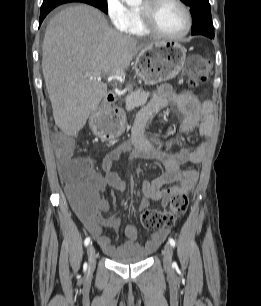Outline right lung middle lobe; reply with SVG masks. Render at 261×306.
<instances>
[{
  "label": "right lung middle lobe",
  "instance_id": "obj_1",
  "mask_svg": "<svg viewBox=\"0 0 261 306\" xmlns=\"http://www.w3.org/2000/svg\"><path fill=\"white\" fill-rule=\"evenodd\" d=\"M72 1H65V0H43V4L41 6V9L48 8V7H56L60 4L69 3ZM83 3L90 4L92 6H95L105 12L108 13L107 9V0H82Z\"/></svg>",
  "mask_w": 261,
  "mask_h": 306
}]
</instances>
